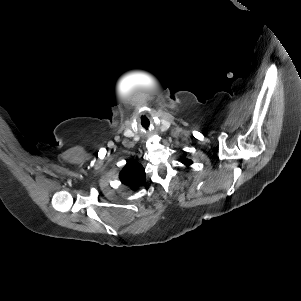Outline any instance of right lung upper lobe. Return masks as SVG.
<instances>
[{"label":"right lung upper lobe","mask_w":301,"mask_h":301,"mask_svg":"<svg viewBox=\"0 0 301 301\" xmlns=\"http://www.w3.org/2000/svg\"><path fill=\"white\" fill-rule=\"evenodd\" d=\"M119 178L123 184L136 189L145 183V170L137 162H127L120 172Z\"/></svg>","instance_id":"cb5924a9"}]
</instances>
